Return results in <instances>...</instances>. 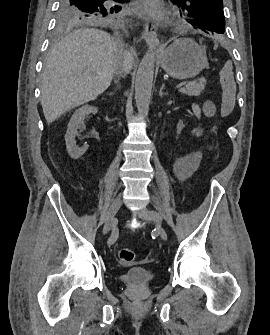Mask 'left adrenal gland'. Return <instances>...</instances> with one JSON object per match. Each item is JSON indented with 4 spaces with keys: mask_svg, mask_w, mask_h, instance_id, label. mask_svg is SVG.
I'll return each mask as SVG.
<instances>
[{
    "mask_svg": "<svg viewBox=\"0 0 270 335\" xmlns=\"http://www.w3.org/2000/svg\"><path fill=\"white\" fill-rule=\"evenodd\" d=\"M164 86H165V84H162V86H161V88H160V94H161V96H163V92H162V90H164Z\"/></svg>",
    "mask_w": 270,
    "mask_h": 335,
    "instance_id": "left-adrenal-gland-1",
    "label": "left adrenal gland"
}]
</instances>
